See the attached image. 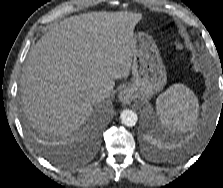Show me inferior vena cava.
<instances>
[{"instance_id":"1","label":"inferior vena cava","mask_w":223,"mask_h":188,"mask_svg":"<svg viewBox=\"0 0 223 188\" xmlns=\"http://www.w3.org/2000/svg\"><path fill=\"white\" fill-rule=\"evenodd\" d=\"M109 90L106 88H98L94 89L90 93V98L93 103H100L102 102L105 98L109 96Z\"/></svg>"}]
</instances>
